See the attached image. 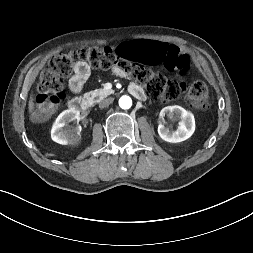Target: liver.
<instances>
[{"label": "liver", "mask_w": 253, "mask_h": 253, "mask_svg": "<svg viewBox=\"0 0 253 253\" xmlns=\"http://www.w3.org/2000/svg\"><path fill=\"white\" fill-rule=\"evenodd\" d=\"M28 110L31 113V115L33 114V110H34V102H33V98L30 97V100L28 102Z\"/></svg>", "instance_id": "6515ba94"}]
</instances>
